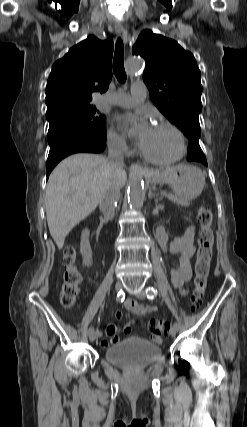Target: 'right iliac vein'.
<instances>
[{
  "label": "right iliac vein",
  "mask_w": 247,
  "mask_h": 427,
  "mask_svg": "<svg viewBox=\"0 0 247 427\" xmlns=\"http://www.w3.org/2000/svg\"><path fill=\"white\" fill-rule=\"evenodd\" d=\"M115 289H116V291H119L122 289V283L120 281L116 282ZM96 338H97V332L95 330H93L92 332L89 333V340L91 342H93Z\"/></svg>",
  "instance_id": "63e3f726"
}]
</instances>
